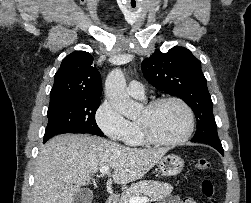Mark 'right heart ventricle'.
<instances>
[{
  "label": "right heart ventricle",
  "instance_id": "obj_1",
  "mask_svg": "<svg viewBox=\"0 0 251 203\" xmlns=\"http://www.w3.org/2000/svg\"><path fill=\"white\" fill-rule=\"evenodd\" d=\"M124 142L129 146H141L146 143L137 122H130V129Z\"/></svg>",
  "mask_w": 251,
  "mask_h": 203
}]
</instances>
